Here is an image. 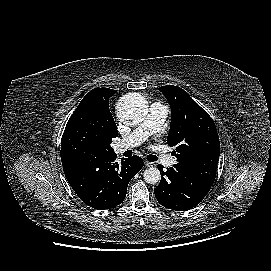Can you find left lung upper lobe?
<instances>
[{
  "label": "left lung upper lobe",
  "instance_id": "left-lung-upper-lobe-1",
  "mask_svg": "<svg viewBox=\"0 0 271 271\" xmlns=\"http://www.w3.org/2000/svg\"><path fill=\"white\" fill-rule=\"evenodd\" d=\"M159 90L171 106L167 143L176 147L177 164L174 166L212 186L220 154L219 137L212 118L183 89L166 85Z\"/></svg>",
  "mask_w": 271,
  "mask_h": 271
}]
</instances>
